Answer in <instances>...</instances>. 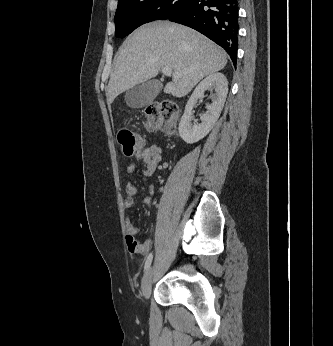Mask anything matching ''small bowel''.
Here are the masks:
<instances>
[{
	"label": "small bowel",
	"instance_id": "c3829d8e",
	"mask_svg": "<svg viewBox=\"0 0 333 346\" xmlns=\"http://www.w3.org/2000/svg\"><path fill=\"white\" fill-rule=\"evenodd\" d=\"M135 159L142 163V173L144 176L149 177L154 174L159 163L162 161V149L159 145L151 144L144 147L141 151L135 154ZM136 170L135 163H129L126 167L127 174H133ZM149 195L144 198V203L150 205L152 202V193L154 187L149 185ZM137 189L132 183L126 186V198L124 201L125 207L129 208L134 204ZM127 231V246L130 254H153L152 240L138 239L137 234L139 228L134 224L131 219L126 220Z\"/></svg>",
	"mask_w": 333,
	"mask_h": 346
}]
</instances>
